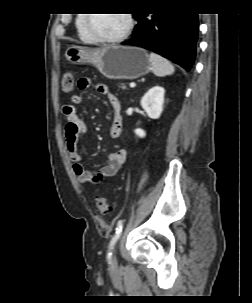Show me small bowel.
Here are the masks:
<instances>
[{"mask_svg":"<svg viewBox=\"0 0 252 303\" xmlns=\"http://www.w3.org/2000/svg\"><path fill=\"white\" fill-rule=\"evenodd\" d=\"M93 85L90 78H81L78 81V87L81 90H87ZM95 88L98 92L104 94L113 109L112 123L110 127V136L118 138L122 132L123 120L121 103L118 97L103 83H96ZM84 99L81 95L73 94L70 103L63 106L62 111L66 117L65 139L66 147L71 160L74 162L73 171L78 179L83 183L98 184L101 181L114 177L126 161L127 151L120 148L108 155L103 163L97 165L93 171L85 170L80 163V152L78 147L79 139L86 133L87 127L84 121L79 117L76 107L81 105Z\"/></svg>","mask_w":252,"mask_h":303,"instance_id":"c3829d8e","label":"small bowel"}]
</instances>
